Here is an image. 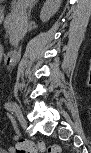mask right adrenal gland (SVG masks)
Instances as JSON below:
<instances>
[{"label":"right adrenal gland","mask_w":91,"mask_h":153,"mask_svg":"<svg viewBox=\"0 0 91 153\" xmlns=\"http://www.w3.org/2000/svg\"><path fill=\"white\" fill-rule=\"evenodd\" d=\"M38 2V0L35 1V3L30 7V11L29 14L31 13V10L33 9V7L35 6V4Z\"/></svg>","instance_id":"right-adrenal-gland-1"}]
</instances>
